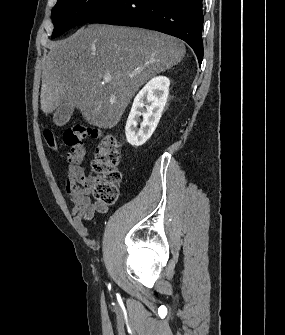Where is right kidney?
I'll return each mask as SVG.
<instances>
[{"mask_svg": "<svg viewBox=\"0 0 285 335\" xmlns=\"http://www.w3.org/2000/svg\"><path fill=\"white\" fill-rule=\"evenodd\" d=\"M170 80L165 76L152 78L139 94L135 96L131 112L125 126L127 142L138 148L143 146L150 136H152L166 106L169 94ZM143 116L140 130L137 132L136 126Z\"/></svg>", "mask_w": 285, "mask_h": 335, "instance_id": "right-kidney-1", "label": "right kidney"}]
</instances>
